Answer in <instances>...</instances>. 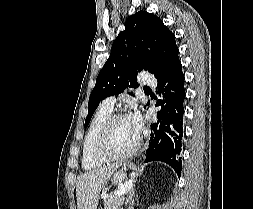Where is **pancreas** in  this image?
<instances>
[{
	"label": "pancreas",
	"instance_id": "1",
	"mask_svg": "<svg viewBox=\"0 0 253 209\" xmlns=\"http://www.w3.org/2000/svg\"><path fill=\"white\" fill-rule=\"evenodd\" d=\"M117 191L104 198L105 209H118L124 202V194L117 196Z\"/></svg>",
	"mask_w": 253,
	"mask_h": 209
}]
</instances>
